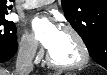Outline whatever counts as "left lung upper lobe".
<instances>
[{
  "mask_svg": "<svg viewBox=\"0 0 107 75\" xmlns=\"http://www.w3.org/2000/svg\"><path fill=\"white\" fill-rule=\"evenodd\" d=\"M61 2L65 18L82 37L90 54L102 45L107 47V0Z\"/></svg>",
  "mask_w": 107,
  "mask_h": 75,
  "instance_id": "left-lung-upper-lobe-1",
  "label": "left lung upper lobe"
}]
</instances>
